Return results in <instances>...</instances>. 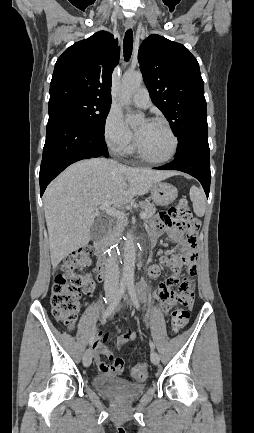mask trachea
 Returning a JSON list of instances; mask_svg holds the SVG:
<instances>
[{
  "label": "trachea",
  "instance_id": "3493384b",
  "mask_svg": "<svg viewBox=\"0 0 254 433\" xmlns=\"http://www.w3.org/2000/svg\"><path fill=\"white\" fill-rule=\"evenodd\" d=\"M132 49H133V32L131 29H129L126 31L124 41H123V52L126 61L130 59L132 54Z\"/></svg>",
  "mask_w": 254,
  "mask_h": 433
}]
</instances>
